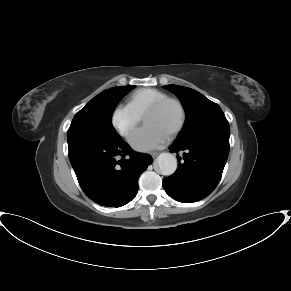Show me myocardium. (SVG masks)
Returning <instances> with one entry per match:
<instances>
[{"instance_id":"myocardium-1","label":"myocardium","mask_w":291,"mask_h":291,"mask_svg":"<svg viewBox=\"0 0 291 291\" xmlns=\"http://www.w3.org/2000/svg\"><path fill=\"white\" fill-rule=\"evenodd\" d=\"M168 104H174L179 112V120L176 124V126L171 130L170 132V136H175L177 135L185 126L186 123V110L184 108V105L181 103L180 100L176 99V98H171V97H166L163 99H160L154 103H152L151 105H149L143 115H142V119L144 121L145 116L149 113H153V112H157L159 110H161L162 108H164L166 105Z\"/></svg>"}]
</instances>
